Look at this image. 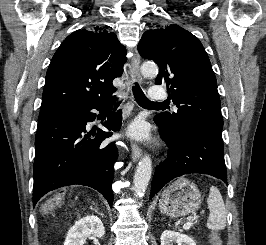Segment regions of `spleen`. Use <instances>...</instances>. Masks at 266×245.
<instances>
[{"label": "spleen", "mask_w": 266, "mask_h": 245, "mask_svg": "<svg viewBox=\"0 0 266 245\" xmlns=\"http://www.w3.org/2000/svg\"><path fill=\"white\" fill-rule=\"evenodd\" d=\"M207 205L210 215L206 227L211 231H223L226 227V209L217 187H210Z\"/></svg>", "instance_id": "3e777b00"}]
</instances>
